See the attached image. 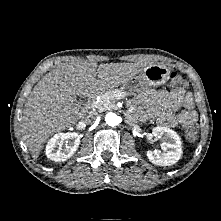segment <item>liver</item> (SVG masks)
Segmentation results:
<instances>
[{"instance_id": "liver-1", "label": "liver", "mask_w": 221, "mask_h": 221, "mask_svg": "<svg viewBox=\"0 0 221 221\" xmlns=\"http://www.w3.org/2000/svg\"><path fill=\"white\" fill-rule=\"evenodd\" d=\"M139 63H64L47 73L25 103L22 139L37 158L47 139L75 125L82 117L81 98L124 85L143 70Z\"/></svg>"}]
</instances>
